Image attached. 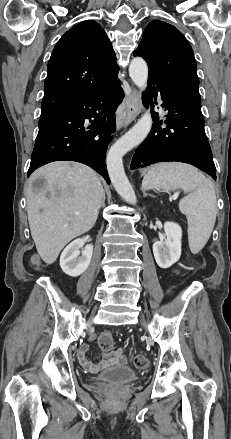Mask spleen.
<instances>
[{"mask_svg":"<svg viewBox=\"0 0 231 439\" xmlns=\"http://www.w3.org/2000/svg\"><path fill=\"white\" fill-rule=\"evenodd\" d=\"M144 190L183 189L187 195L179 202L188 221V240L192 253H198L212 233L217 203L213 183L195 167L184 163H160L153 166L142 181Z\"/></svg>","mask_w":231,"mask_h":439,"instance_id":"1","label":"spleen"}]
</instances>
